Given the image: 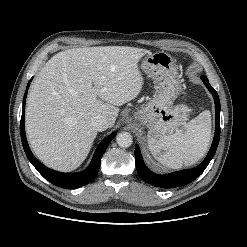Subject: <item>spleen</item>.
Listing matches in <instances>:
<instances>
[{
    "label": "spleen",
    "instance_id": "1",
    "mask_svg": "<svg viewBox=\"0 0 247 247\" xmlns=\"http://www.w3.org/2000/svg\"><path fill=\"white\" fill-rule=\"evenodd\" d=\"M210 141L211 115L207 110L173 134L148 136L149 149L154 158L172 169L196 163L206 153Z\"/></svg>",
    "mask_w": 247,
    "mask_h": 247
}]
</instances>
